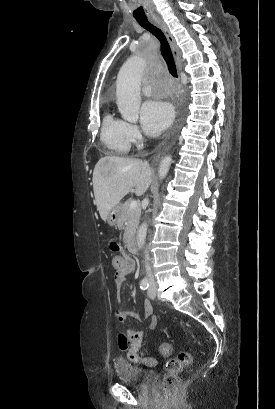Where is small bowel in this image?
Returning a JSON list of instances; mask_svg holds the SVG:
<instances>
[{"label":"small bowel","instance_id":"obj_1","mask_svg":"<svg viewBox=\"0 0 275 409\" xmlns=\"http://www.w3.org/2000/svg\"><path fill=\"white\" fill-rule=\"evenodd\" d=\"M123 261L124 263L121 267V271L115 275V282L117 285H121L124 276L135 270V263L132 260L127 259ZM115 316L120 322L125 321L128 317L136 319L145 318L148 321L147 328L151 330L156 328L158 323V319L154 315L153 304L148 300L143 303L141 312H127L122 307H118L115 310ZM129 330V334L120 333L117 341L120 350L123 351L125 359L133 360L134 365H139L141 363L147 366H155L157 364V360L150 357H144L140 351V346L142 345L144 339V333L141 331H135L132 327ZM150 360L152 363H150Z\"/></svg>","mask_w":275,"mask_h":409}]
</instances>
